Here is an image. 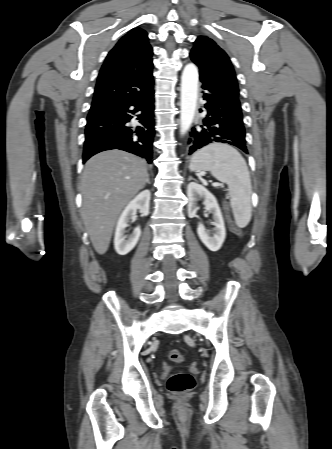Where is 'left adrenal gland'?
Wrapping results in <instances>:
<instances>
[{
    "instance_id": "1",
    "label": "left adrenal gland",
    "mask_w": 332,
    "mask_h": 449,
    "mask_svg": "<svg viewBox=\"0 0 332 449\" xmlns=\"http://www.w3.org/2000/svg\"><path fill=\"white\" fill-rule=\"evenodd\" d=\"M193 178L191 177V176H189V179L188 180H192Z\"/></svg>"
}]
</instances>
